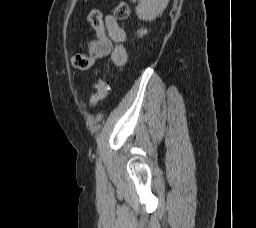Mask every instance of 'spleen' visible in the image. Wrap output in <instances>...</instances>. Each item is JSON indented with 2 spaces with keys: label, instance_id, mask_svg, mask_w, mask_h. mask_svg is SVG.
Here are the masks:
<instances>
[{
  "label": "spleen",
  "instance_id": "1",
  "mask_svg": "<svg viewBox=\"0 0 256 228\" xmlns=\"http://www.w3.org/2000/svg\"><path fill=\"white\" fill-rule=\"evenodd\" d=\"M168 2L169 0H139L136 14L142 20H154L167 7Z\"/></svg>",
  "mask_w": 256,
  "mask_h": 228
}]
</instances>
